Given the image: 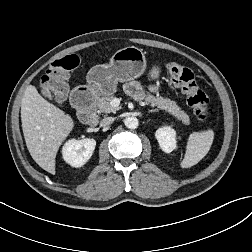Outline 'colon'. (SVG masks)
<instances>
[{"label": "colon", "instance_id": "1", "mask_svg": "<svg viewBox=\"0 0 252 252\" xmlns=\"http://www.w3.org/2000/svg\"><path fill=\"white\" fill-rule=\"evenodd\" d=\"M79 64L76 55H67L54 61L43 76V87L57 102H61L68 93V74ZM168 75L171 81L185 94L188 105L193 109L197 120L206 123L213 116L208 106L207 96L202 92L194 78L192 70L180 63L168 65Z\"/></svg>", "mask_w": 252, "mask_h": 252}]
</instances>
